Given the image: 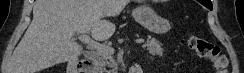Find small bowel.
I'll use <instances>...</instances> for the list:
<instances>
[{
    "instance_id": "c3829d8e",
    "label": "small bowel",
    "mask_w": 244,
    "mask_h": 73,
    "mask_svg": "<svg viewBox=\"0 0 244 73\" xmlns=\"http://www.w3.org/2000/svg\"><path fill=\"white\" fill-rule=\"evenodd\" d=\"M135 73H141V71L138 68H135Z\"/></svg>"
}]
</instances>
